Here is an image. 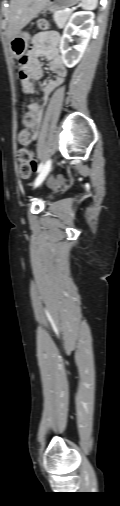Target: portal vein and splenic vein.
Instances as JSON below:
<instances>
[{
	"instance_id": "portal-vein-and-splenic-vein-1",
	"label": "portal vein and splenic vein",
	"mask_w": 120,
	"mask_h": 506,
	"mask_svg": "<svg viewBox=\"0 0 120 506\" xmlns=\"http://www.w3.org/2000/svg\"><path fill=\"white\" fill-rule=\"evenodd\" d=\"M72 11H73V10H69L68 12H70V13H71Z\"/></svg>"
}]
</instances>
